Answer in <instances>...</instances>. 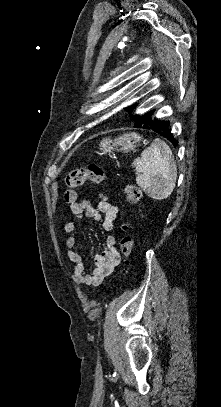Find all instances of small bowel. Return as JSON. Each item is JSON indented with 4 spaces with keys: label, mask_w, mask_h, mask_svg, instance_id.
<instances>
[{
    "label": "small bowel",
    "mask_w": 221,
    "mask_h": 407,
    "mask_svg": "<svg viewBox=\"0 0 221 407\" xmlns=\"http://www.w3.org/2000/svg\"><path fill=\"white\" fill-rule=\"evenodd\" d=\"M70 211L74 218L79 221L84 216L95 221L102 220L103 228L111 231L117 218L118 208L115 204L100 195L97 205L94 206L88 200L71 203ZM64 230L69 234L65 242L68 259L74 265L72 280L78 286H97L108 277L117 265L115 258L120 254L116 248V238L109 235L106 240V250L95 257V269L92 273H86L85 264L80 251L76 247L79 225L71 220L64 223Z\"/></svg>",
    "instance_id": "1"
}]
</instances>
